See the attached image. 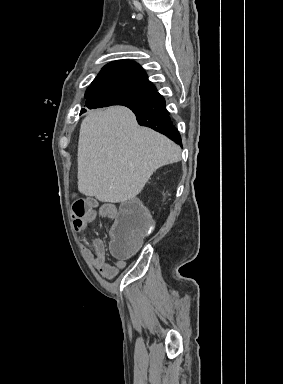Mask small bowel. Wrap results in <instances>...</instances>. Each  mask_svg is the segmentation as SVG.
<instances>
[{
	"instance_id": "1",
	"label": "small bowel",
	"mask_w": 283,
	"mask_h": 384,
	"mask_svg": "<svg viewBox=\"0 0 283 384\" xmlns=\"http://www.w3.org/2000/svg\"><path fill=\"white\" fill-rule=\"evenodd\" d=\"M117 214L118 209L115 205L102 204L98 210L91 208L81 221L75 224V228L76 230L84 231L94 223L98 215L108 219H115ZM83 254L87 261L106 279L114 278L126 267V260L122 258H117L114 263L107 262L106 246L98 237L92 238L91 249L84 248Z\"/></svg>"
}]
</instances>
